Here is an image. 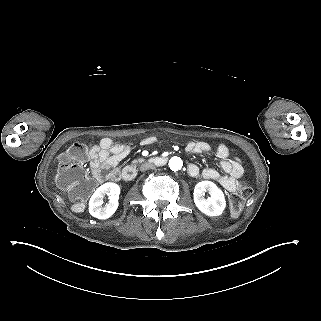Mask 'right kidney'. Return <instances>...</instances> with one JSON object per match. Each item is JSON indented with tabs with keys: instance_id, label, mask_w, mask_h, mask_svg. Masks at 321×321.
Masks as SVG:
<instances>
[{
	"instance_id": "ca27d5eb",
	"label": "right kidney",
	"mask_w": 321,
	"mask_h": 321,
	"mask_svg": "<svg viewBox=\"0 0 321 321\" xmlns=\"http://www.w3.org/2000/svg\"><path fill=\"white\" fill-rule=\"evenodd\" d=\"M119 192V186L112 182H107L98 187L89 200L90 215L100 220L112 217L118 208ZM107 194L110 195V201L102 207L104 197Z\"/></svg>"
}]
</instances>
